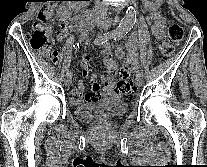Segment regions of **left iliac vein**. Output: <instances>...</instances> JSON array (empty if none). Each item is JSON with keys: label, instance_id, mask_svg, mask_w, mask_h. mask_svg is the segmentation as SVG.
Instances as JSON below:
<instances>
[{"label": "left iliac vein", "instance_id": "left-iliac-vein-1", "mask_svg": "<svg viewBox=\"0 0 207 167\" xmlns=\"http://www.w3.org/2000/svg\"><path fill=\"white\" fill-rule=\"evenodd\" d=\"M135 83L138 87H140L142 85V76L141 75L136 76Z\"/></svg>", "mask_w": 207, "mask_h": 167}]
</instances>
